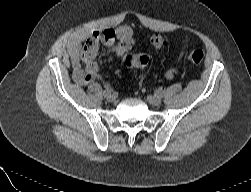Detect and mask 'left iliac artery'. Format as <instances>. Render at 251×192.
Wrapping results in <instances>:
<instances>
[{"instance_id":"obj_1","label":"left iliac artery","mask_w":251,"mask_h":192,"mask_svg":"<svg viewBox=\"0 0 251 192\" xmlns=\"http://www.w3.org/2000/svg\"><path fill=\"white\" fill-rule=\"evenodd\" d=\"M157 94H158L159 96H163L164 91H163L162 89H158Z\"/></svg>"}]
</instances>
